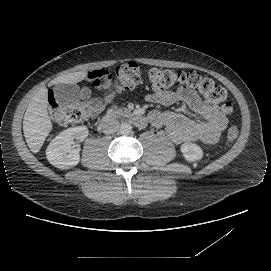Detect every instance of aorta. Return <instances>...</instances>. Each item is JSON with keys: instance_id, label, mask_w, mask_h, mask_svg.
<instances>
[{"instance_id": "obj_1", "label": "aorta", "mask_w": 271, "mask_h": 271, "mask_svg": "<svg viewBox=\"0 0 271 271\" xmlns=\"http://www.w3.org/2000/svg\"><path fill=\"white\" fill-rule=\"evenodd\" d=\"M119 130L122 134H130L132 131V126L130 123L128 122H123L120 127Z\"/></svg>"}]
</instances>
